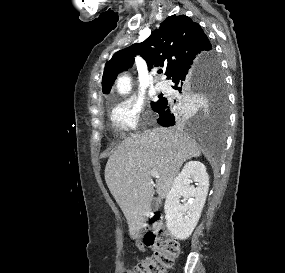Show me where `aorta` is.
I'll return each instance as SVG.
<instances>
[{
    "label": "aorta",
    "instance_id": "1",
    "mask_svg": "<svg viewBox=\"0 0 285 273\" xmlns=\"http://www.w3.org/2000/svg\"><path fill=\"white\" fill-rule=\"evenodd\" d=\"M118 91L121 94L128 93L131 89V79L128 76H122L118 79L117 82Z\"/></svg>",
    "mask_w": 285,
    "mask_h": 273
}]
</instances>
